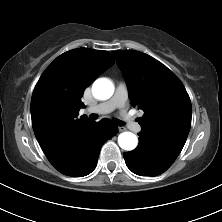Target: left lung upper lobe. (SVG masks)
<instances>
[{"label":"left lung upper lobe","mask_w":222,"mask_h":222,"mask_svg":"<svg viewBox=\"0 0 222 222\" xmlns=\"http://www.w3.org/2000/svg\"><path fill=\"white\" fill-rule=\"evenodd\" d=\"M124 74L129 99L144 111L139 137L153 139L174 156L191 126L192 107L179 78L153 57L134 50L112 51Z\"/></svg>","instance_id":"5c2ea615"}]
</instances>
